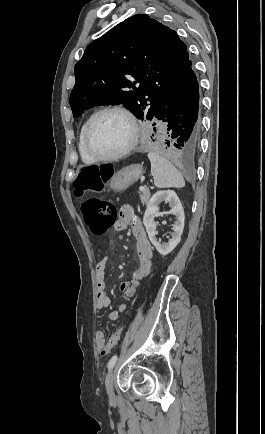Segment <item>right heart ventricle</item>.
Returning <instances> with one entry per match:
<instances>
[{
	"label": "right heart ventricle",
	"instance_id": "1",
	"mask_svg": "<svg viewBox=\"0 0 265 434\" xmlns=\"http://www.w3.org/2000/svg\"><path fill=\"white\" fill-rule=\"evenodd\" d=\"M91 116H89L81 125L79 133H78V138H77V152H78V156L79 159L81 161V163L85 166H92L95 165L97 163V161L93 160L92 158H90L85 150H84V145H83V139L84 136L86 134V129H87V125L88 122L90 120Z\"/></svg>",
	"mask_w": 265,
	"mask_h": 434
}]
</instances>
